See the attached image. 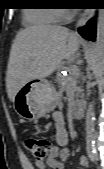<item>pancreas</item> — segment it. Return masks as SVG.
<instances>
[{
	"label": "pancreas",
	"mask_w": 104,
	"mask_h": 169,
	"mask_svg": "<svg viewBox=\"0 0 104 169\" xmlns=\"http://www.w3.org/2000/svg\"><path fill=\"white\" fill-rule=\"evenodd\" d=\"M70 67H71V66L65 67V70L69 71ZM77 77H78V75H74V76H73L74 79H77ZM65 79H66L65 77H62L61 75H59V81L65 80ZM75 97H76V101H78V98H79V97H82L81 89L76 88Z\"/></svg>",
	"instance_id": "obj_1"
}]
</instances>
